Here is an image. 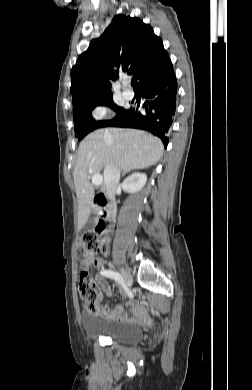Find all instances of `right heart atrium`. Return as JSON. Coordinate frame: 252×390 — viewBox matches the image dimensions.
<instances>
[{"instance_id":"1","label":"right heart atrium","mask_w":252,"mask_h":390,"mask_svg":"<svg viewBox=\"0 0 252 390\" xmlns=\"http://www.w3.org/2000/svg\"><path fill=\"white\" fill-rule=\"evenodd\" d=\"M108 114V109L104 106H98L93 110V117L97 120L103 119Z\"/></svg>"}]
</instances>
